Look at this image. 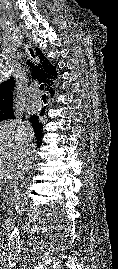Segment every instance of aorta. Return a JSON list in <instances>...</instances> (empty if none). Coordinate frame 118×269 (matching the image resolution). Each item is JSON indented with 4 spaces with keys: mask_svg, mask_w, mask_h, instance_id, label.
<instances>
[{
    "mask_svg": "<svg viewBox=\"0 0 118 269\" xmlns=\"http://www.w3.org/2000/svg\"><path fill=\"white\" fill-rule=\"evenodd\" d=\"M26 205H27V198L25 194L22 192H17L14 198V208L18 218H20V216L23 215ZM20 239L21 236L19 227L15 226L9 236V242H8L9 250L11 252H18L20 250Z\"/></svg>",
    "mask_w": 118,
    "mask_h": 269,
    "instance_id": "obj_1",
    "label": "aorta"
}]
</instances>
